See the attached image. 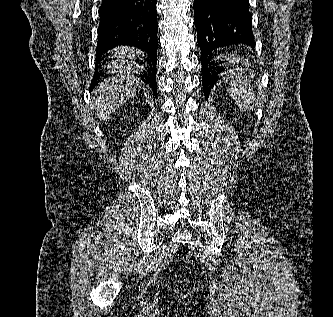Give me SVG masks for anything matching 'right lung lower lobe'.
<instances>
[{
	"mask_svg": "<svg viewBox=\"0 0 333 317\" xmlns=\"http://www.w3.org/2000/svg\"><path fill=\"white\" fill-rule=\"evenodd\" d=\"M157 0H102L99 8L100 24L96 48V64L108 50L129 45L148 54L147 71L141 79L149 85L157 97ZM98 70V67H96ZM101 74H95L90 90L98 85Z\"/></svg>",
	"mask_w": 333,
	"mask_h": 317,
	"instance_id": "98d812e1",
	"label": "right lung lower lobe"
}]
</instances>
